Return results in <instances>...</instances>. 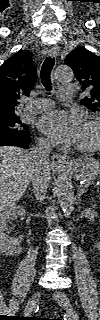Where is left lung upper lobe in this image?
Wrapping results in <instances>:
<instances>
[{
    "label": "left lung upper lobe",
    "mask_w": 100,
    "mask_h": 320,
    "mask_svg": "<svg viewBox=\"0 0 100 320\" xmlns=\"http://www.w3.org/2000/svg\"><path fill=\"white\" fill-rule=\"evenodd\" d=\"M83 89H90V94L81 100L93 112L100 113V58L84 47L74 49L66 58Z\"/></svg>",
    "instance_id": "5c2ea615"
}]
</instances>
